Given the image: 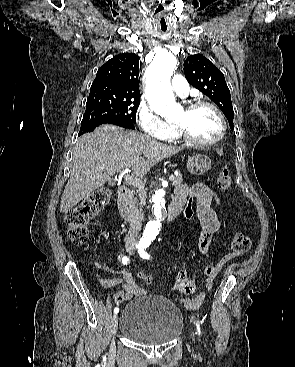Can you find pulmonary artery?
<instances>
[{"instance_id": "pulmonary-artery-1", "label": "pulmonary artery", "mask_w": 295, "mask_h": 367, "mask_svg": "<svg viewBox=\"0 0 295 367\" xmlns=\"http://www.w3.org/2000/svg\"><path fill=\"white\" fill-rule=\"evenodd\" d=\"M172 88L180 97H186L189 94V85L182 75H175L172 79Z\"/></svg>"}]
</instances>
